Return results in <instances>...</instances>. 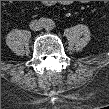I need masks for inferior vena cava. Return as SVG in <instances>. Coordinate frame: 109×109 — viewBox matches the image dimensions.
I'll list each match as a JSON object with an SVG mask.
<instances>
[{"label": "inferior vena cava", "instance_id": "602c4592", "mask_svg": "<svg viewBox=\"0 0 109 109\" xmlns=\"http://www.w3.org/2000/svg\"><path fill=\"white\" fill-rule=\"evenodd\" d=\"M43 27L42 23L38 20H33L30 22V28L34 31H39Z\"/></svg>", "mask_w": 109, "mask_h": 109}]
</instances>
